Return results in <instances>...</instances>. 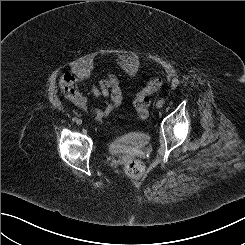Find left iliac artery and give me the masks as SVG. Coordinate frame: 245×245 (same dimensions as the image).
Masks as SVG:
<instances>
[{
    "instance_id": "1",
    "label": "left iliac artery",
    "mask_w": 245,
    "mask_h": 245,
    "mask_svg": "<svg viewBox=\"0 0 245 245\" xmlns=\"http://www.w3.org/2000/svg\"><path fill=\"white\" fill-rule=\"evenodd\" d=\"M158 102L161 103V104H164L165 103V100L164 99H161Z\"/></svg>"
}]
</instances>
